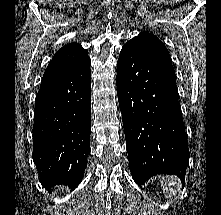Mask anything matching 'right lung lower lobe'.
<instances>
[{
  "label": "right lung lower lobe",
  "instance_id": "98d812e1",
  "mask_svg": "<svg viewBox=\"0 0 221 215\" xmlns=\"http://www.w3.org/2000/svg\"><path fill=\"white\" fill-rule=\"evenodd\" d=\"M90 58L42 79L33 125V160L43 186L75 188L90 152Z\"/></svg>",
  "mask_w": 221,
  "mask_h": 215
}]
</instances>
